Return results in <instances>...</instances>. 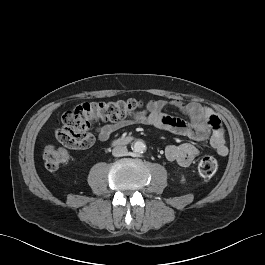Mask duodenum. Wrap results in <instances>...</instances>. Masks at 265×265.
<instances>
[{"instance_id": "1", "label": "duodenum", "mask_w": 265, "mask_h": 265, "mask_svg": "<svg viewBox=\"0 0 265 265\" xmlns=\"http://www.w3.org/2000/svg\"><path fill=\"white\" fill-rule=\"evenodd\" d=\"M129 141H130V139L128 137H126V138H119V139H116L114 141V144H117V145H119V144H126Z\"/></svg>"}]
</instances>
